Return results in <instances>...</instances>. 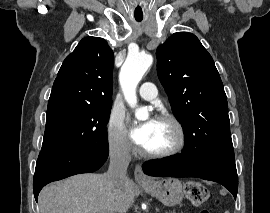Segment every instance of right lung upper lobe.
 <instances>
[{
    "label": "right lung upper lobe",
    "mask_w": 270,
    "mask_h": 213,
    "mask_svg": "<svg viewBox=\"0 0 270 213\" xmlns=\"http://www.w3.org/2000/svg\"><path fill=\"white\" fill-rule=\"evenodd\" d=\"M113 63V51L103 38H83L60 67L48 109L65 105L111 107Z\"/></svg>",
    "instance_id": "obj_1"
}]
</instances>
